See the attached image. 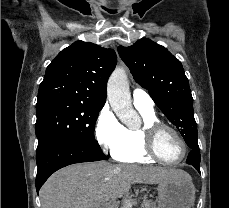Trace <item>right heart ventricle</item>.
I'll list each match as a JSON object with an SVG mask.
<instances>
[{"label": "right heart ventricle", "instance_id": "obj_1", "mask_svg": "<svg viewBox=\"0 0 229 208\" xmlns=\"http://www.w3.org/2000/svg\"><path fill=\"white\" fill-rule=\"evenodd\" d=\"M124 77V75H122ZM144 125L149 122L158 121L154 111H147L138 109ZM126 144L123 148L114 153V157L122 162H142V163H155L158 162L156 158H149V153H144L143 144L147 143L144 135V126L140 128H125Z\"/></svg>", "mask_w": 229, "mask_h": 208}]
</instances>
